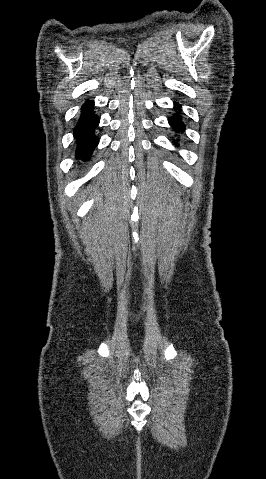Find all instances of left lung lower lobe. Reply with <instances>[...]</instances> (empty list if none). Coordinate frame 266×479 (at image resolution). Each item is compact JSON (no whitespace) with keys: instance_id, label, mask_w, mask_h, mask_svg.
<instances>
[{"instance_id":"1","label":"left lung lower lobe","mask_w":266,"mask_h":479,"mask_svg":"<svg viewBox=\"0 0 266 479\" xmlns=\"http://www.w3.org/2000/svg\"><path fill=\"white\" fill-rule=\"evenodd\" d=\"M174 107L176 109L180 108V105L178 103L174 104ZM169 124L177 131V132H183L185 130V126L180 118L179 115H174L171 118H169ZM175 145H178L176 141H174Z\"/></svg>"}]
</instances>
